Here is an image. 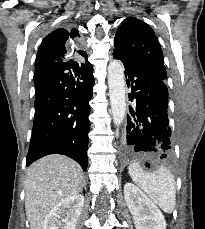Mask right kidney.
I'll list each match as a JSON object with an SVG mask.
<instances>
[{
  "label": "right kidney",
  "instance_id": "ca27d5eb",
  "mask_svg": "<svg viewBox=\"0 0 205 229\" xmlns=\"http://www.w3.org/2000/svg\"><path fill=\"white\" fill-rule=\"evenodd\" d=\"M83 205L81 194L61 200L49 211L43 229H75Z\"/></svg>",
  "mask_w": 205,
  "mask_h": 229
}]
</instances>
